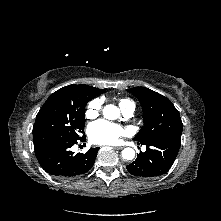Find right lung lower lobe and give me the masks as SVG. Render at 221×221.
<instances>
[{
	"mask_svg": "<svg viewBox=\"0 0 221 221\" xmlns=\"http://www.w3.org/2000/svg\"><path fill=\"white\" fill-rule=\"evenodd\" d=\"M85 139L83 136L79 140ZM77 141H55L35 149L38 162L47 173L58 178H75L86 173L94 165L99 148H90L85 154L74 155L70 148Z\"/></svg>",
	"mask_w": 221,
	"mask_h": 221,
	"instance_id": "98d812e1",
	"label": "right lung lower lobe"
}]
</instances>
